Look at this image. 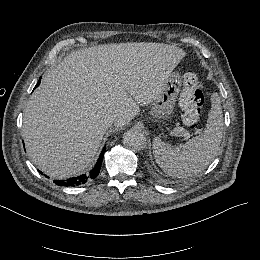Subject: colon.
I'll return each mask as SVG.
<instances>
[{"label": "colon", "instance_id": "obj_1", "mask_svg": "<svg viewBox=\"0 0 260 260\" xmlns=\"http://www.w3.org/2000/svg\"><path fill=\"white\" fill-rule=\"evenodd\" d=\"M204 83L192 73L186 74L182 81L179 105L182 109L184 126L193 130L199 126L203 98Z\"/></svg>", "mask_w": 260, "mask_h": 260}]
</instances>
